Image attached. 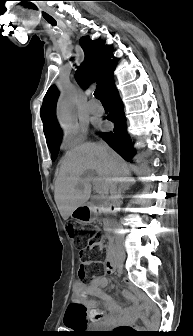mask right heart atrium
<instances>
[{
    "label": "right heart atrium",
    "mask_w": 193,
    "mask_h": 336,
    "mask_svg": "<svg viewBox=\"0 0 193 336\" xmlns=\"http://www.w3.org/2000/svg\"><path fill=\"white\" fill-rule=\"evenodd\" d=\"M87 138V128L79 126L71 130H65L62 136V144L66 148H72L82 143Z\"/></svg>",
    "instance_id": "d8ad5b80"
}]
</instances>
